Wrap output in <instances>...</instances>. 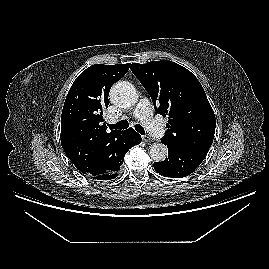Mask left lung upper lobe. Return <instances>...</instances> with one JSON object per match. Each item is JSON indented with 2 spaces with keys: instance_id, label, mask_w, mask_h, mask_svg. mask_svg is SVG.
<instances>
[{
  "instance_id": "obj_1",
  "label": "left lung upper lobe",
  "mask_w": 269,
  "mask_h": 269,
  "mask_svg": "<svg viewBox=\"0 0 269 269\" xmlns=\"http://www.w3.org/2000/svg\"><path fill=\"white\" fill-rule=\"evenodd\" d=\"M130 69L150 94L156 112L170 118L162 142L180 149L209 150L216 118L197 78L171 61L133 63Z\"/></svg>"
}]
</instances>
